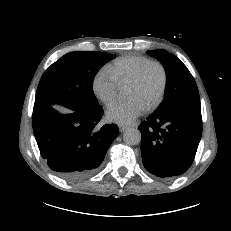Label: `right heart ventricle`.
Wrapping results in <instances>:
<instances>
[{"label": "right heart ventricle", "instance_id": "1", "mask_svg": "<svg viewBox=\"0 0 231 231\" xmlns=\"http://www.w3.org/2000/svg\"><path fill=\"white\" fill-rule=\"evenodd\" d=\"M150 59L141 55H125L114 60L106 69L115 79L118 87L128 86L139 68Z\"/></svg>", "mask_w": 231, "mask_h": 231}]
</instances>
